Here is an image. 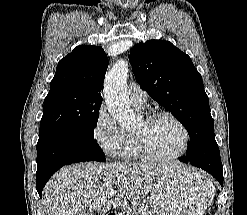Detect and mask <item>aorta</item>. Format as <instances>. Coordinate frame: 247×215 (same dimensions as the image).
I'll return each mask as SVG.
<instances>
[{
    "label": "aorta",
    "mask_w": 247,
    "mask_h": 215,
    "mask_svg": "<svg viewBox=\"0 0 247 215\" xmlns=\"http://www.w3.org/2000/svg\"><path fill=\"white\" fill-rule=\"evenodd\" d=\"M128 62L119 60L106 75L104 82V98L112 117L123 128L135 125L137 115L131 109L128 92Z\"/></svg>",
    "instance_id": "762f6f07"
}]
</instances>
